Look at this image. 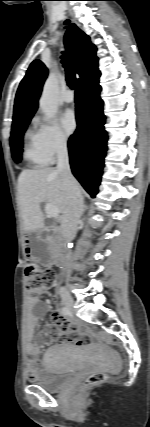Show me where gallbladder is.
<instances>
[{"mask_svg": "<svg viewBox=\"0 0 150 427\" xmlns=\"http://www.w3.org/2000/svg\"><path fill=\"white\" fill-rule=\"evenodd\" d=\"M31 255L43 265L52 262V255L47 244L42 240H37L34 236H32Z\"/></svg>", "mask_w": 150, "mask_h": 427, "instance_id": "obj_1", "label": "gallbladder"}]
</instances>
